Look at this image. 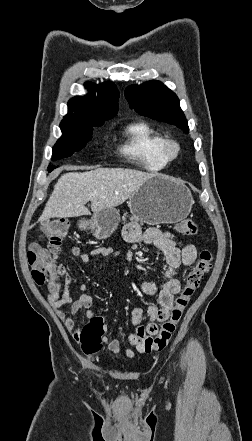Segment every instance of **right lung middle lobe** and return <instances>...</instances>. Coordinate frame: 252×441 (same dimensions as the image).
Here are the masks:
<instances>
[{"instance_id":"right-lung-middle-lobe-1","label":"right lung middle lobe","mask_w":252,"mask_h":441,"mask_svg":"<svg viewBox=\"0 0 252 441\" xmlns=\"http://www.w3.org/2000/svg\"><path fill=\"white\" fill-rule=\"evenodd\" d=\"M104 123L101 122H85L73 119H63L60 123L62 137L58 139L53 148L52 159H60L71 156L74 152L85 147L86 143L91 140L93 127H99ZM56 166L49 165L48 171L51 172Z\"/></svg>"}]
</instances>
